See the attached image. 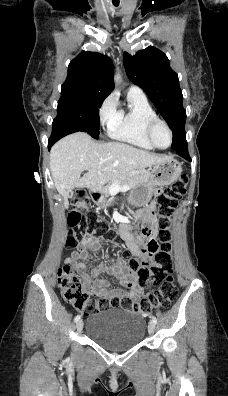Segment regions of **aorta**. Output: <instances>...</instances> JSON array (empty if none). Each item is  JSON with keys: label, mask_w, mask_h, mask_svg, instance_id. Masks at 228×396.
<instances>
[{"label": "aorta", "mask_w": 228, "mask_h": 396, "mask_svg": "<svg viewBox=\"0 0 228 396\" xmlns=\"http://www.w3.org/2000/svg\"><path fill=\"white\" fill-rule=\"evenodd\" d=\"M120 79H121L120 75L117 74V75L115 76V81L118 82Z\"/></svg>", "instance_id": "aorta-1"}]
</instances>
